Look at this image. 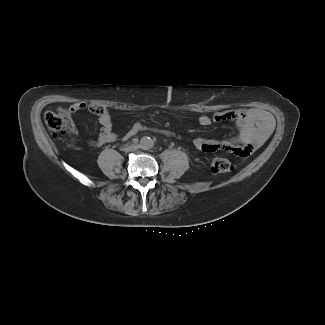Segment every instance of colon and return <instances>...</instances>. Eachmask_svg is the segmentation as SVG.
<instances>
[{"mask_svg":"<svg viewBox=\"0 0 325 325\" xmlns=\"http://www.w3.org/2000/svg\"><path fill=\"white\" fill-rule=\"evenodd\" d=\"M44 121L48 129L55 135L65 134L69 129L66 118L54 111H47L44 114ZM211 170L216 174L228 173L233 170V164L227 158L215 157L211 161Z\"/></svg>","mask_w":325,"mask_h":325,"instance_id":"1","label":"colon"}]
</instances>
